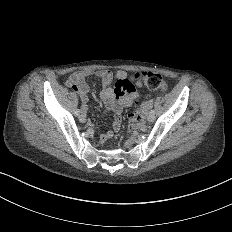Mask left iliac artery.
I'll list each match as a JSON object with an SVG mask.
<instances>
[{"label": "left iliac artery", "instance_id": "1", "mask_svg": "<svg viewBox=\"0 0 232 232\" xmlns=\"http://www.w3.org/2000/svg\"><path fill=\"white\" fill-rule=\"evenodd\" d=\"M155 113H156V111H155V110H151V111H150V115H152V116H154V115H155Z\"/></svg>", "mask_w": 232, "mask_h": 232}]
</instances>
